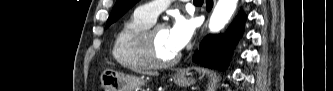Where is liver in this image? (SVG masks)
<instances>
[{
    "instance_id": "6515ba94",
    "label": "liver",
    "mask_w": 333,
    "mask_h": 91,
    "mask_svg": "<svg viewBox=\"0 0 333 91\" xmlns=\"http://www.w3.org/2000/svg\"><path fill=\"white\" fill-rule=\"evenodd\" d=\"M143 74L151 75V76H157V72H144Z\"/></svg>"
}]
</instances>
